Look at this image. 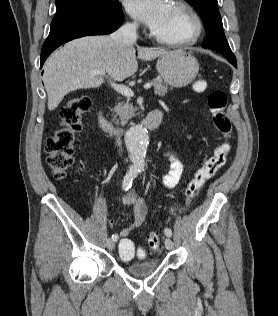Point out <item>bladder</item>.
Segmentation results:
<instances>
[{
  "mask_svg": "<svg viewBox=\"0 0 278 316\" xmlns=\"http://www.w3.org/2000/svg\"><path fill=\"white\" fill-rule=\"evenodd\" d=\"M160 265L159 260L151 259L144 262H133L125 265L126 270L137 277H145L153 273Z\"/></svg>",
  "mask_w": 278,
  "mask_h": 316,
  "instance_id": "31cf9c89",
  "label": "bladder"
}]
</instances>
